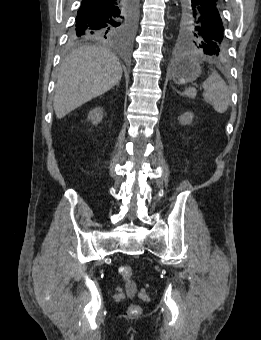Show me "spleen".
<instances>
[{
  "instance_id": "spleen-1",
  "label": "spleen",
  "mask_w": 261,
  "mask_h": 340,
  "mask_svg": "<svg viewBox=\"0 0 261 340\" xmlns=\"http://www.w3.org/2000/svg\"><path fill=\"white\" fill-rule=\"evenodd\" d=\"M205 89L203 93L204 99L212 105L218 113H224L230 104V94L226 82L222 77L214 72L202 84ZM184 94L190 98H194L197 94L195 88H188Z\"/></svg>"
}]
</instances>
